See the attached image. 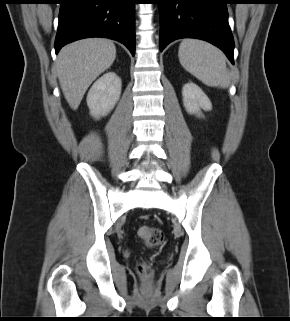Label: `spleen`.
Instances as JSON below:
<instances>
[{
	"mask_svg": "<svg viewBox=\"0 0 290 321\" xmlns=\"http://www.w3.org/2000/svg\"><path fill=\"white\" fill-rule=\"evenodd\" d=\"M181 65L208 86L227 87L229 72L222 53L213 45L194 39L181 42L178 52Z\"/></svg>",
	"mask_w": 290,
	"mask_h": 321,
	"instance_id": "3e777b00",
	"label": "spleen"
}]
</instances>
